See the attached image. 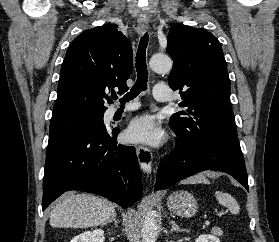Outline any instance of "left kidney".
Wrapping results in <instances>:
<instances>
[{"label": "left kidney", "instance_id": "5707ae66", "mask_svg": "<svg viewBox=\"0 0 279 242\" xmlns=\"http://www.w3.org/2000/svg\"><path fill=\"white\" fill-rule=\"evenodd\" d=\"M195 242H220V240L214 235H200Z\"/></svg>", "mask_w": 279, "mask_h": 242}]
</instances>
